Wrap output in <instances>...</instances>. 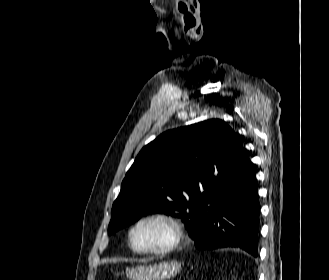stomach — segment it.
<instances>
[{
  "label": "stomach",
  "instance_id": "0dacf381",
  "mask_svg": "<svg viewBox=\"0 0 329 280\" xmlns=\"http://www.w3.org/2000/svg\"><path fill=\"white\" fill-rule=\"evenodd\" d=\"M181 271V263L167 261L154 265H138L126 269L130 280H167Z\"/></svg>",
  "mask_w": 329,
  "mask_h": 280
}]
</instances>
